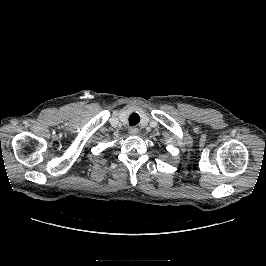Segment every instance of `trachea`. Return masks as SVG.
Masks as SVG:
<instances>
[{"instance_id":"1","label":"trachea","mask_w":266,"mask_h":266,"mask_svg":"<svg viewBox=\"0 0 266 266\" xmlns=\"http://www.w3.org/2000/svg\"><path fill=\"white\" fill-rule=\"evenodd\" d=\"M140 122V116L137 113H132L129 116V124L130 125H136Z\"/></svg>"}]
</instances>
